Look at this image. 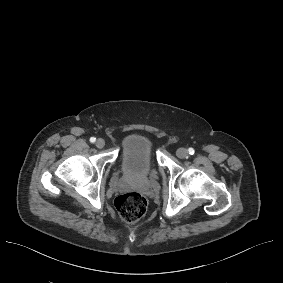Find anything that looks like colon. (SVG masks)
Instances as JSON below:
<instances>
[{
    "label": "colon",
    "mask_w": 283,
    "mask_h": 283,
    "mask_svg": "<svg viewBox=\"0 0 283 283\" xmlns=\"http://www.w3.org/2000/svg\"><path fill=\"white\" fill-rule=\"evenodd\" d=\"M115 207L126 223L137 222L146 212L147 201L143 195L137 192H128L116 197Z\"/></svg>",
    "instance_id": "1"
}]
</instances>
